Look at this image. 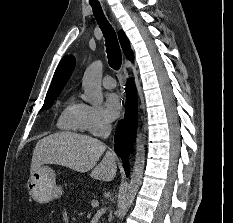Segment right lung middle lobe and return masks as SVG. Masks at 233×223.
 Masks as SVG:
<instances>
[{
	"mask_svg": "<svg viewBox=\"0 0 233 223\" xmlns=\"http://www.w3.org/2000/svg\"><path fill=\"white\" fill-rule=\"evenodd\" d=\"M52 104H53V103L47 104V105H45L44 107H45V108H50V107L52 106Z\"/></svg>",
	"mask_w": 233,
	"mask_h": 223,
	"instance_id": "right-lung-middle-lobe-1",
	"label": "right lung middle lobe"
}]
</instances>
